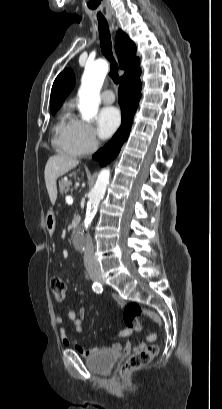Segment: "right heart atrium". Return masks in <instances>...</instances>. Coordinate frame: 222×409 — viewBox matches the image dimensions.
<instances>
[{
  "label": "right heart atrium",
  "instance_id": "d8ad5b80",
  "mask_svg": "<svg viewBox=\"0 0 222 409\" xmlns=\"http://www.w3.org/2000/svg\"><path fill=\"white\" fill-rule=\"evenodd\" d=\"M75 133L83 153H92L99 147L95 131L89 124L76 120Z\"/></svg>",
  "mask_w": 222,
  "mask_h": 409
}]
</instances>
